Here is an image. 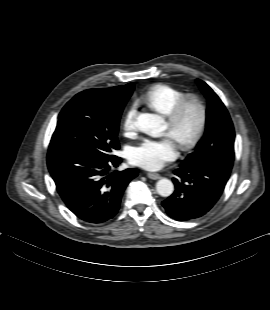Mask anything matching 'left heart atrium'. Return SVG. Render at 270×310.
Segmentation results:
<instances>
[{"label": "left heart atrium", "mask_w": 270, "mask_h": 310, "mask_svg": "<svg viewBox=\"0 0 270 310\" xmlns=\"http://www.w3.org/2000/svg\"><path fill=\"white\" fill-rule=\"evenodd\" d=\"M178 156V146L170 136L146 139L131 148L129 161L146 170H157Z\"/></svg>", "instance_id": "1"}]
</instances>
